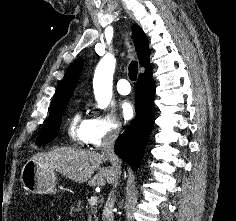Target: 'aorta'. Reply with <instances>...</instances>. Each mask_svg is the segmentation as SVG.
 <instances>
[{"label":"aorta","mask_w":236,"mask_h":221,"mask_svg":"<svg viewBox=\"0 0 236 221\" xmlns=\"http://www.w3.org/2000/svg\"><path fill=\"white\" fill-rule=\"evenodd\" d=\"M115 64L116 60L112 55H106L100 61L99 65L104 72V79L94 89L95 98L100 108H106L111 101Z\"/></svg>","instance_id":"1"}]
</instances>
